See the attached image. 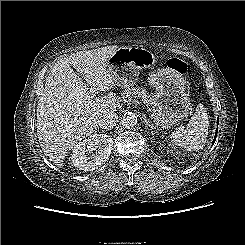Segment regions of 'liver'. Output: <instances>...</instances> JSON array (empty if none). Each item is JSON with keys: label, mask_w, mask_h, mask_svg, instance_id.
Returning a JSON list of instances; mask_svg holds the SVG:
<instances>
[{"label": "liver", "mask_w": 245, "mask_h": 245, "mask_svg": "<svg viewBox=\"0 0 245 245\" xmlns=\"http://www.w3.org/2000/svg\"><path fill=\"white\" fill-rule=\"evenodd\" d=\"M118 49L112 45L79 51L60 57L52 67L37 104V135L42 151L57 167H63L75 144L94 133L103 116L115 113L117 96L92 97L88 85L99 91L116 85L107 61Z\"/></svg>", "instance_id": "6515ba94"}]
</instances>
